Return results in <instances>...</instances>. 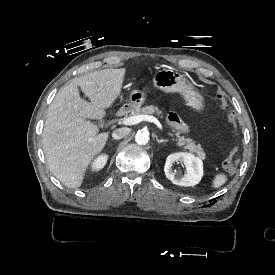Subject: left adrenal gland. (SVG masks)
I'll return each instance as SVG.
<instances>
[{"label": "left adrenal gland", "instance_id": "a2214340", "mask_svg": "<svg viewBox=\"0 0 275 275\" xmlns=\"http://www.w3.org/2000/svg\"><path fill=\"white\" fill-rule=\"evenodd\" d=\"M155 138H156V141H157L158 144L167 142V140H164V139H160L159 140L158 137H157V135H155Z\"/></svg>", "mask_w": 275, "mask_h": 275}]
</instances>
